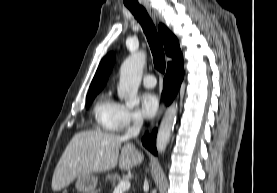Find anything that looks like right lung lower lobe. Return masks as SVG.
Instances as JSON below:
<instances>
[{"mask_svg":"<svg viewBox=\"0 0 277 193\" xmlns=\"http://www.w3.org/2000/svg\"><path fill=\"white\" fill-rule=\"evenodd\" d=\"M183 57L180 56L167 65V72L163 81L162 97L167 104H170L175 98L181 82L183 80ZM143 145L151 151L154 155H157L156 149V130L152 135H146L142 139Z\"/></svg>","mask_w":277,"mask_h":193,"instance_id":"98d812e1","label":"right lung lower lobe"}]
</instances>
